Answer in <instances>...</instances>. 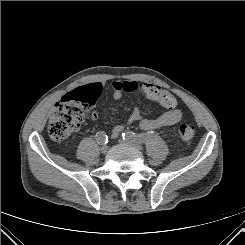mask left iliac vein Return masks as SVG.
<instances>
[{"instance_id": "left-iliac-vein-1", "label": "left iliac vein", "mask_w": 245, "mask_h": 245, "mask_svg": "<svg viewBox=\"0 0 245 245\" xmlns=\"http://www.w3.org/2000/svg\"><path fill=\"white\" fill-rule=\"evenodd\" d=\"M120 143H126V144H129L133 147H135L136 149L138 150H142V146L139 144V143H136V142H133V141H130V140H119Z\"/></svg>"}]
</instances>
